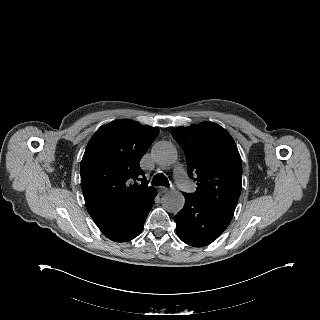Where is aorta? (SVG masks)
<instances>
[{
	"label": "aorta",
	"mask_w": 320,
	"mask_h": 320,
	"mask_svg": "<svg viewBox=\"0 0 320 320\" xmlns=\"http://www.w3.org/2000/svg\"><path fill=\"white\" fill-rule=\"evenodd\" d=\"M153 161L160 167H170L177 160V150L169 142H158L151 151ZM185 198L178 191H171L162 197L163 207L171 213H178L184 206Z\"/></svg>",
	"instance_id": "aorta-1"
}]
</instances>
